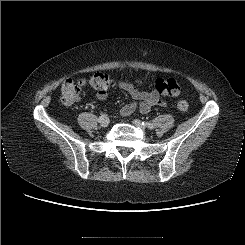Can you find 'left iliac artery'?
Instances as JSON below:
<instances>
[{
  "label": "left iliac artery",
  "instance_id": "left-iliac-artery-1",
  "mask_svg": "<svg viewBox=\"0 0 245 245\" xmlns=\"http://www.w3.org/2000/svg\"><path fill=\"white\" fill-rule=\"evenodd\" d=\"M142 124L148 127L149 129H154V125L150 122H142Z\"/></svg>",
  "mask_w": 245,
  "mask_h": 245
}]
</instances>
